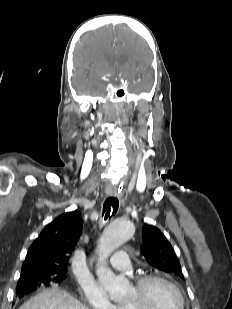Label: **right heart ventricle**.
Returning <instances> with one entry per match:
<instances>
[{
  "label": "right heart ventricle",
  "instance_id": "obj_1",
  "mask_svg": "<svg viewBox=\"0 0 232 309\" xmlns=\"http://www.w3.org/2000/svg\"><path fill=\"white\" fill-rule=\"evenodd\" d=\"M117 309H128V308H127L126 305L123 303V304H118V305H117Z\"/></svg>",
  "mask_w": 232,
  "mask_h": 309
}]
</instances>
